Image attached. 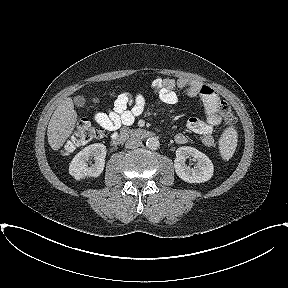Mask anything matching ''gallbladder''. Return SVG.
Returning <instances> with one entry per match:
<instances>
[{
  "label": "gallbladder",
  "mask_w": 288,
  "mask_h": 288,
  "mask_svg": "<svg viewBox=\"0 0 288 288\" xmlns=\"http://www.w3.org/2000/svg\"><path fill=\"white\" fill-rule=\"evenodd\" d=\"M85 98L81 95H77L74 97V104L77 106V107H83L85 105Z\"/></svg>",
  "instance_id": "1"
}]
</instances>
